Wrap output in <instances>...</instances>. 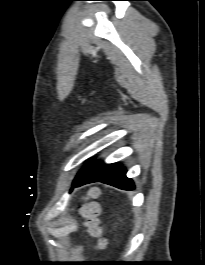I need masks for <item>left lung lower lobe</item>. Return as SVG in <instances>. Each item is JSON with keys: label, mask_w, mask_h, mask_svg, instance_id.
Instances as JSON below:
<instances>
[{"label": "left lung lower lobe", "mask_w": 205, "mask_h": 265, "mask_svg": "<svg viewBox=\"0 0 205 265\" xmlns=\"http://www.w3.org/2000/svg\"><path fill=\"white\" fill-rule=\"evenodd\" d=\"M126 169L120 164H104L102 161L91 163L73 182L79 187L93 182H103L123 190H133V181L126 177Z\"/></svg>", "instance_id": "0a47b994"}]
</instances>
